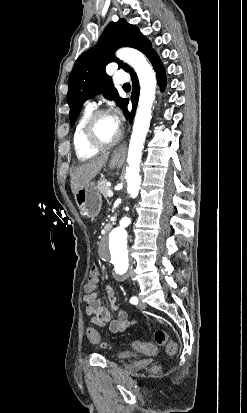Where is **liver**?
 Masks as SVG:
<instances>
[{
  "label": "liver",
  "instance_id": "6515ba94",
  "mask_svg": "<svg viewBox=\"0 0 247 413\" xmlns=\"http://www.w3.org/2000/svg\"><path fill=\"white\" fill-rule=\"evenodd\" d=\"M109 152H104V154H100V156H96V158H92V160H88V162H82L79 166H76L75 170H73L71 176V190L73 194L81 188V186H85L88 184L96 174H98L99 170H101L102 166H104L106 160H108Z\"/></svg>",
  "mask_w": 247,
  "mask_h": 413
}]
</instances>
